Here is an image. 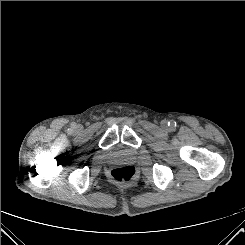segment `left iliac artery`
I'll return each instance as SVG.
<instances>
[{
	"label": "left iliac artery",
	"instance_id": "1",
	"mask_svg": "<svg viewBox=\"0 0 245 245\" xmlns=\"http://www.w3.org/2000/svg\"><path fill=\"white\" fill-rule=\"evenodd\" d=\"M168 125H169L171 128H174V127H176V122H175V121H170V122L168 123Z\"/></svg>",
	"mask_w": 245,
	"mask_h": 245
}]
</instances>
